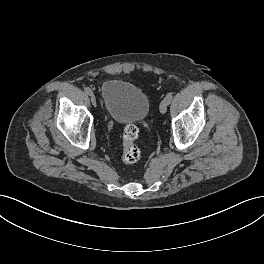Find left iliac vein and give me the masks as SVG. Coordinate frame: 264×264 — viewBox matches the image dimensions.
<instances>
[{
  "label": "left iliac vein",
  "mask_w": 264,
  "mask_h": 264,
  "mask_svg": "<svg viewBox=\"0 0 264 264\" xmlns=\"http://www.w3.org/2000/svg\"><path fill=\"white\" fill-rule=\"evenodd\" d=\"M168 107V102L164 99L161 101L159 109L162 114L166 113Z\"/></svg>",
  "instance_id": "left-iliac-vein-1"
}]
</instances>
